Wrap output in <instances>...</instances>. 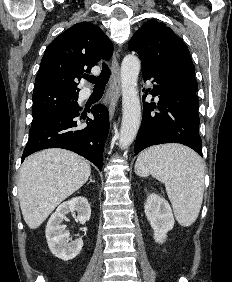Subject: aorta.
I'll return each instance as SVG.
<instances>
[{
	"instance_id": "aorta-1",
	"label": "aorta",
	"mask_w": 232,
	"mask_h": 282,
	"mask_svg": "<svg viewBox=\"0 0 232 282\" xmlns=\"http://www.w3.org/2000/svg\"><path fill=\"white\" fill-rule=\"evenodd\" d=\"M140 60L133 54L124 57L121 64L122 123L119 146L126 148L136 137L141 121V106L137 90Z\"/></svg>"
}]
</instances>
